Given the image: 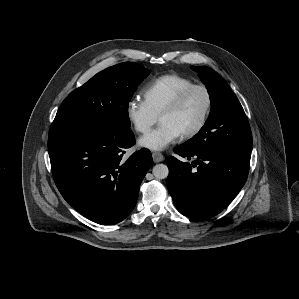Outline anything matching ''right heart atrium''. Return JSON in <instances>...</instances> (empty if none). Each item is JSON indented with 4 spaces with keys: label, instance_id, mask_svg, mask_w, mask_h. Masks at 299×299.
<instances>
[{
    "label": "right heart atrium",
    "instance_id": "1",
    "mask_svg": "<svg viewBox=\"0 0 299 299\" xmlns=\"http://www.w3.org/2000/svg\"><path fill=\"white\" fill-rule=\"evenodd\" d=\"M125 114L132 128L139 134L148 132L157 120V116L144 101L138 99H131L127 102Z\"/></svg>",
    "mask_w": 299,
    "mask_h": 299
}]
</instances>
